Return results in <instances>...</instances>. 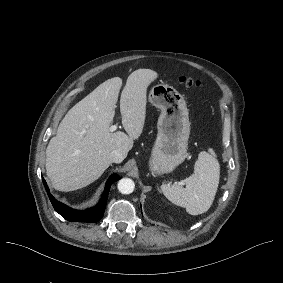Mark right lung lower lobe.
<instances>
[{"instance_id": "1", "label": "right lung lower lobe", "mask_w": 283, "mask_h": 283, "mask_svg": "<svg viewBox=\"0 0 283 283\" xmlns=\"http://www.w3.org/2000/svg\"><path fill=\"white\" fill-rule=\"evenodd\" d=\"M119 176L114 174L110 176L108 179L105 190L103 192V195L99 201V203L90 209L80 211V210H74L69 208L68 206L62 204L61 202L57 201L49 192L48 186L46 181L42 178L43 184L45 186V189L48 193L49 199L54 207V209L61 215L63 218H65L68 221L71 222H88V223H95L99 221L104 214L107 199H108V193L111 185L114 181L118 180Z\"/></svg>"}]
</instances>
